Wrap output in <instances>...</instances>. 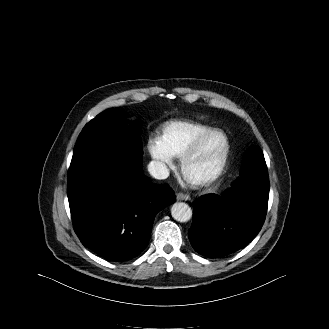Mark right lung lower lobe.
<instances>
[{
    "mask_svg": "<svg viewBox=\"0 0 329 329\" xmlns=\"http://www.w3.org/2000/svg\"><path fill=\"white\" fill-rule=\"evenodd\" d=\"M73 226L82 244L110 261L138 256L156 214L175 202L167 185L151 182L141 166L101 157L68 172Z\"/></svg>",
    "mask_w": 329,
    "mask_h": 329,
    "instance_id": "obj_1",
    "label": "right lung lower lobe"
}]
</instances>
